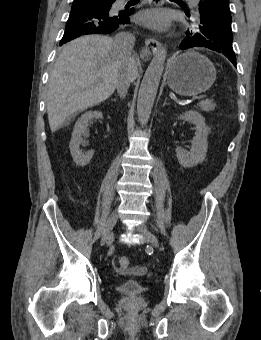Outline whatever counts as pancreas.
Wrapping results in <instances>:
<instances>
[{"label":"pancreas","mask_w":261,"mask_h":340,"mask_svg":"<svg viewBox=\"0 0 261 340\" xmlns=\"http://www.w3.org/2000/svg\"><path fill=\"white\" fill-rule=\"evenodd\" d=\"M198 106L201 108L204 112H211L215 110L216 104L212 100H204L201 101Z\"/></svg>","instance_id":"1"}]
</instances>
